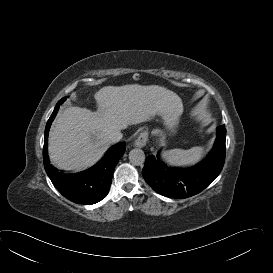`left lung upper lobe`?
<instances>
[{"label":"left lung upper lobe","mask_w":273,"mask_h":273,"mask_svg":"<svg viewBox=\"0 0 273 273\" xmlns=\"http://www.w3.org/2000/svg\"><path fill=\"white\" fill-rule=\"evenodd\" d=\"M219 135H224V136H226V131H225V127L224 126H219L218 128H217V136H219ZM226 139V138H225Z\"/></svg>","instance_id":"5c2ea615"}]
</instances>
